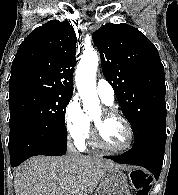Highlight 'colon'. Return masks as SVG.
<instances>
[{"mask_svg":"<svg viewBox=\"0 0 178 195\" xmlns=\"http://www.w3.org/2000/svg\"><path fill=\"white\" fill-rule=\"evenodd\" d=\"M133 184L136 188V195H148L151 187L150 177L142 172L135 171L132 173Z\"/></svg>","mask_w":178,"mask_h":195,"instance_id":"obj_1","label":"colon"}]
</instances>
